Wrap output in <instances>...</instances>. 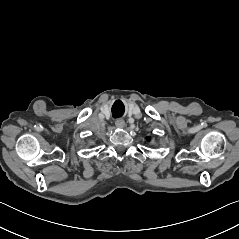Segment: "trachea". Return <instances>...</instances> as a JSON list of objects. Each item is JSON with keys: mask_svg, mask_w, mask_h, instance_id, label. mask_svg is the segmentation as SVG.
Returning <instances> with one entry per match:
<instances>
[{"mask_svg": "<svg viewBox=\"0 0 239 239\" xmlns=\"http://www.w3.org/2000/svg\"><path fill=\"white\" fill-rule=\"evenodd\" d=\"M123 113L118 112V111H113V117L118 118L121 117Z\"/></svg>", "mask_w": 239, "mask_h": 239, "instance_id": "3493384b", "label": "trachea"}]
</instances>
